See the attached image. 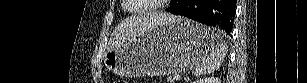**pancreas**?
Segmentation results:
<instances>
[{"instance_id": "1", "label": "pancreas", "mask_w": 307, "mask_h": 83, "mask_svg": "<svg viewBox=\"0 0 307 83\" xmlns=\"http://www.w3.org/2000/svg\"><path fill=\"white\" fill-rule=\"evenodd\" d=\"M167 82H168V83H175V79H174L172 76H169V77L167 78Z\"/></svg>"}]
</instances>
